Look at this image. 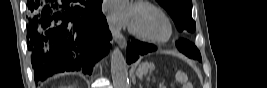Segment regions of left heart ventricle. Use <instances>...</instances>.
<instances>
[{"instance_id":"left-heart-ventricle-1","label":"left heart ventricle","mask_w":267,"mask_h":88,"mask_svg":"<svg viewBox=\"0 0 267 88\" xmlns=\"http://www.w3.org/2000/svg\"><path fill=\"white\" fill-rule=\"evenodd\" d=\"M131 25L153 37H163L167 33L164 21L153 12L142 8L133 10Z\"/></svg>"}]
</instances>
